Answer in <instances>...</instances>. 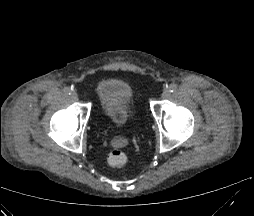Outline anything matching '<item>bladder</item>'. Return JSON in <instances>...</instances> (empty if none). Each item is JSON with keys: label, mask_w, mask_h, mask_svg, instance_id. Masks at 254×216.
Masks as SVG:
<instances>
[{"label": "bladder", "mask_w": 254, "mask_h": 216, "mask_svg": "<svg viewBox=\"0 0 254 216\" xmlns=\"http://www.w3.org/2000/svg\"><path fill=\"white\" fill-rule=\"evenodd\" d=\"M104 116L116 129L128 128L135 109L130 86L122 79L109 77L97 87Z\"/></svg>", "instance_id": "1"}]
</instances>
